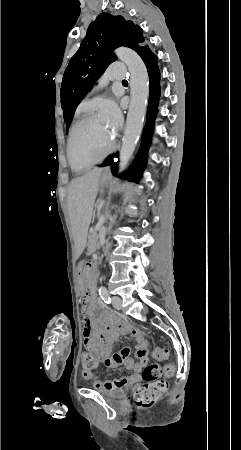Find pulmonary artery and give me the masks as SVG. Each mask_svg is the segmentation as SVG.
Returning a JSON list of instances; mask_svg holds the SVG:
<instances>
[{
	"instance_id": "obj_1",
	"label": "pulmonary artery",
	"mask_w": 241,
	"mask_h": 450,
	"mask_svg": "<svg viewBox=\"0 0 241 450\" xmlns=\"http://www.w3.org/2000/svg\"><path fill=\"white\" fill-rule=\"evenodd\" d=\"M124 64H108L104 71L105 78H125Z\"/></svg>"
}]
</instances>
